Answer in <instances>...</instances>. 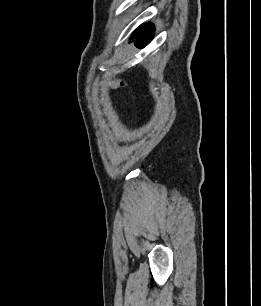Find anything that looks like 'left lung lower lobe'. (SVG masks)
Returning <instances> with one entry per match:
<instances>
[{"label": "left lung lower lobe", "instance_id": "obj_1", "mask_svg": "<svg viewBox=\"0 0 261 306\" xmlns=\"http://www.w3.org/2000/svg\"><path fill=\"white\" fill-rule=\"evenodd\" d=\"M154 28L151 24H145L140 27L138 30L135 31L133 38H135V43L137 47H144L146 46L152 36H153Z\"/></svg>", "mask_w": 261, "mask_h": 306}]
</instances>
